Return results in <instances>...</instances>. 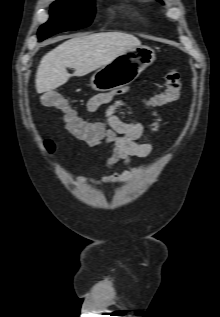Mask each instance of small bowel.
I'll return each mask as SVG.
<instances>
[{
  "instance_id": "c3829d8e",
  "label": "small bowel",
  "mask_w": 220,
  "mask_h": 317,
  "mask_svg": "<svg viewBox=\"0 0 220 317\" xmlns=\"http://www.w3.org/2000/svg\"><path fill=\"white\" fill-rule=\"evenodd\" d=\"M110 93H99L93 96L87 103V110L95 112L99 107L111 101ZM122 105V101L112 103L106 111L105 123L84 122V129L72 130V135L83 141L88 147H96L101 144L113 146L112 155L104 163V168L109 169L117 163L128 166L125 171L104 175L99 178L80 176L79 181L101 185L106 183L128 182L141 172L142 167L132 162L135 157H148L153 147L148 142L139 140L145 136V126L137 121L125 122L116 115V110ZM154 122L150 126L151 132H157L160 127V117L153 112Z\"/></svg>"
}]
</instances>
